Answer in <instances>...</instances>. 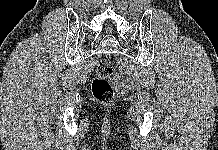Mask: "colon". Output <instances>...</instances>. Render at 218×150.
Masks as SVG:
<instances>
[{
  "label": "colon",
  "instance_id": "5ec220e1",
  "mask_svg": "<svg viewBox=\"0 0 218 150\" xmlns=\"http://www.w3.org/2000/svg\"><path fill=\"white\" fill-rule=\"evenodd\" d=\"M114 72V65L110 59H101L96 68V75L91 83L93 97L101 103H110L114 98L113 88L109 78Z\"/></svg>",
  "mask_w": 218,
  "mask_h": 150
}]
</instances>
